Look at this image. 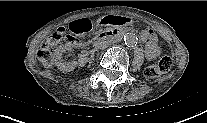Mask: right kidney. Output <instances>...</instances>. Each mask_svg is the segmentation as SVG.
<instances>
[{"instance_id": "obj_1", "label": "right kidney", "mask_w": 207, "mask_h": 123, "mask_svg": "<svg viewBox=\"0 0 207 123\" xmlns=\"http://www.w3.org/2000/svg\"><path fill=\"white\" fill-rule=\"evenodd\" d=\"M66 49L67 48L64 45H60L59 47H57L54 50V61H55V65L58 67L60 71L70 72L75 68L76 63L75 62H69V63L63 62L62 54L66 51Z\"/></svg>"}]
</instances>
